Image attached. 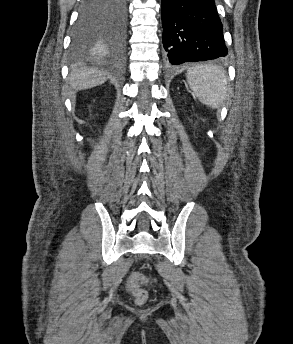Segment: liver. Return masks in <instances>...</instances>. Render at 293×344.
Returning <instances> with one entry per match:
<instances>
[{"instance_id": "1", "label": "liver", "mask_w": 293, "mask_h": 344, "mask_svg": "<svg viewBox=\"0 0 293 344\" xmlns=\"http://www.w3.org/2000/svg\"><path fill=\"white\" fill-rule=\"evenodd\" d=\"M107 74L85 67L74 68L70 74V85L75 90H85L103 84Z\"/></svg>"}]
</instances>
